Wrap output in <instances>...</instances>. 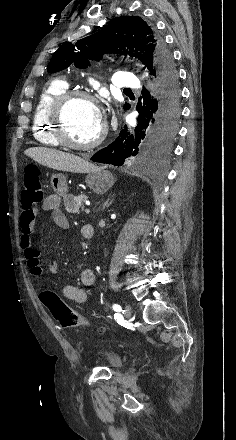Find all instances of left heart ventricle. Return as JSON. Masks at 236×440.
<instances>
[{"label": "left heart ventricle", "instance_id": "obj_1", "mask_svg": "<svg viewBox=\"0 0 236 440\" xmlns=\"http://www.w3.org/2000/svg\"><path fill=\"white\" fill-rule=\"evenodd\" d=\"M65 120L68 136L76 143L92 141L103 126L97 107L83 99H75L69 104Z\"/></svg>", "mask_w": 236, "mask_h": 440}]
</instances>
